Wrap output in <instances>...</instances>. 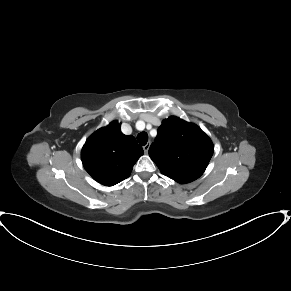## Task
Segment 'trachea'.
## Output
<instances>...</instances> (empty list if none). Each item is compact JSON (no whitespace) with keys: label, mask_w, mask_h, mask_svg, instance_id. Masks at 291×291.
Masks as SVG:
<instances>
[{"label":"trachea","mask_w":291,"mask_h":291,"mask_svg":"<svg viewBox=\"0 0 291 291\" xmlns=\"http://www.w3.org/2000/svg\"><path fill=\"white\" fill-rule=\"evenodd\" d=\"M137 140L139 142L140 145L144 146L146 145L147 141H148V135L146 132H141L137 135Z\"/></svg>","instance_id":"obj_1"}]
</instances>
